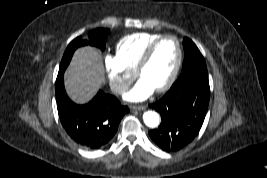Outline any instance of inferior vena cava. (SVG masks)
Segmentation results:
<instances>
[{
	"label": "inferior vena cava",
	"instance_id": "obj_1",
	"mask_svg": "<svg viewBox=\"0 0 267 178\" xmlns=\"http://www.w3.org/2000/svg\"><path fill=\"white\" fill-rule=\"evenodd\" d=\"M114 93L121 94L123 92H126L128 90V85L126 84H116L112 88Z\"/></svg>",
	"mask_w": 267,
	"mask_h": 178
}]
</instances>
